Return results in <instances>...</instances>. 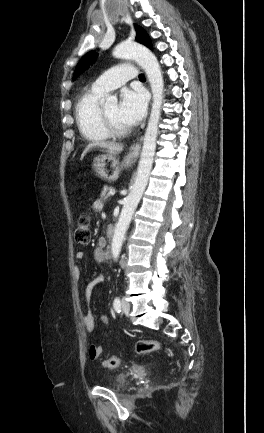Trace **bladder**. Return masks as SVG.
Masks as SVG:
<instances>
[{
  "mask_svg": "<svg viewBox=\"0 0 264 433\" xmlns=\"http://www.w3.org/2000/svg\"><path fill=\"white\" fill-rule=\"evenodd\" d=\"M127 375L125 373H118L114 376L110 387L116 390H121L126 386Z\"/></svg>",
  "mask_w": 264,
  "mask_h": 433,
  "instance_id": "obj_1",
  "label": "bladder"
}]
</instances>
